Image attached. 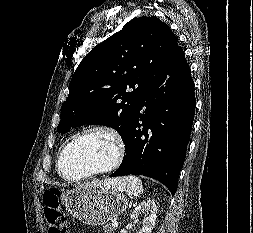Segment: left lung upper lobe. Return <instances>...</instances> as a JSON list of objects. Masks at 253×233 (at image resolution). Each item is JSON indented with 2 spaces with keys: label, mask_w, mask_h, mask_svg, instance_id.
<instances>
[{
  "label": "left lung upper lobe",
  "mask_w": 253,
  "mask_h": 233,
  "mask_svg": "<svg viewBox=\"0 0 253 233\" xmlns=\"http://www.w3.org/2000/svg\"><path fill=\"white\" fill-rule=\"evenodd\" d=\"M177 46L172 30L155 16L127 22L79 64L61 107L57 131L101 124L114 128L123 139L133 114L163 77Z\"/></svg>",
  "instance_id": "5c2ea615"
}]
</instances>
